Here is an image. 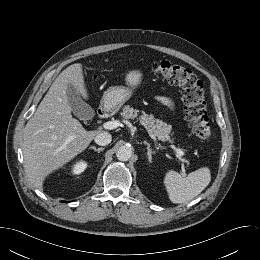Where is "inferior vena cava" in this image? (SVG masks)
I'll return each mask as SVG.
<instances>
[{
  "mask_svg": "<svg viewBox=\"0 0 260 260\" xmlns=\"http://www.w3.org/2000/svg\"><path fill=\"white\" fill-rule=\"evenodd\" d=\"M111 140H112L111 134L106 131H101L94 137L95 143L100 146L108 145L111 142Z\"/></svg>",
  "mask_w": 260,
  "mask_h": 260,
  "instance_id": "inferior-vena-cava-1",
  "label": "inferior vena cava"
}]
</instances>
